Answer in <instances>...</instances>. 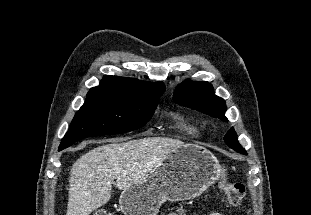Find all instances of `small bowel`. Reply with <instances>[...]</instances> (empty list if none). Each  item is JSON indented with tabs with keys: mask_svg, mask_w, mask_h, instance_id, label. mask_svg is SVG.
Listing matches in <instances>:
<instances>
[{
	"mask_svg": "<svg viewBox=\"0 0 311 215\" xmlns=\"http://www.w3.org/2000/svg\"><path fill=\"white\" fill-rule=\"evenodd\" d=\"M196 215H223V214L212 212V213H204V214H196Z\"/></svg>",
	"mask_w": 311,
	"mask_h": 215,
	"instance_id": "1",
	"label": "small bowel"
}]
</instances>
